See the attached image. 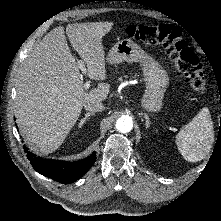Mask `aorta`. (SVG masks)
<instances>
[{"instance_id":"762f6f07","label":"aorta","mask_w":221,"mask_h":221,"mask_svg":"<svg viewBox=\"0 0 221 221\" xmlns=\"http://www.w3.org/2000/svg\"><path fill=\"white\" fill-rule=\"evenodd\" d=\"M133 128L132 119L128 116H122L116 121V129L121 133L130 132Z\"/></svg>"}]
</instances>
